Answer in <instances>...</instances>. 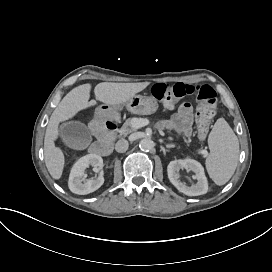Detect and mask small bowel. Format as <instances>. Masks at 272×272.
Returning a JSON list of instances; mask_svg holds the SVG:
<instances>
[{
	"label": "small bowel",
	"instance_id": "1",
	"mask_svg": "<svg viewBox=\"0 0 272 272\" xmlns=\"http://www.w3.org/2000/svg\"><path fill=\"white\" fill-rule=\"evenodd\" d=\"M193 107L189 103L180 105L178 111L169 120L158 123L160 130H173L176 135L188 136L192 130Z\"/></svg>",
	"mask_w": 272,
	"mask_h": 272
}]
</instances>
